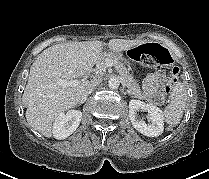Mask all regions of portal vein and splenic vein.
<instances>
[{"mask_svg": "<svg viewBox=\"0 0 209 179\" xmlns=\"http://www.w3.org/2000/svg\"><path fill=\"white\" fill-rule=\"evenodd\" d=\"M106 66L107 67H111L113 66V62L110 60V59H107L106 60ZM80 81L77 80V79H74V80H59L58 81V84L61 85V86H76Z\"/></svg>", "mask_w": 209, "mask_h": 179, "instance_id": "1", "label": "portal vein and splenic vein"}]
</instances>
